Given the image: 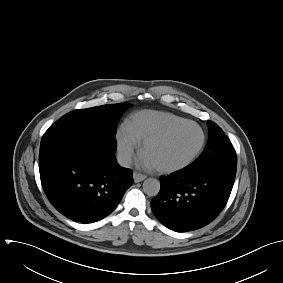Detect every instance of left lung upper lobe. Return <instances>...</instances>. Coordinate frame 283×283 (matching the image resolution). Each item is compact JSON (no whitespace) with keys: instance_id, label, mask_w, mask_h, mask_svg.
Here are the masks:
<instances>
[{"instance_id":"1","label":"left lung upper lobe","mask_w":283,"mask_h":283,"mask_svg":"<svg viewBox=\"0 0 283 283\" xmlns=\"http://www.w3.org/2000/svg\"><path fill=\"white\" fill-rule=\"evenodd\" d=\"M209 138L201 155L190 165L191 170H225L236 173L237 157L235 150L222 131L214 122L207 121Z\"/></svg>"}]
</instances>
